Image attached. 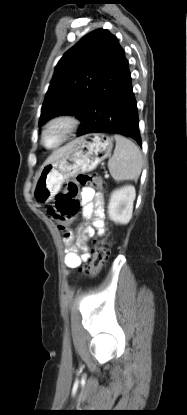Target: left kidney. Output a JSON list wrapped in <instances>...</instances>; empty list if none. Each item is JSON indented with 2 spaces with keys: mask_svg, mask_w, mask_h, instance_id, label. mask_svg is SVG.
<instances>
[{
  "mask_svg": "<svg viewBox=\"0 0 187 415\" xmlns=\"http://www.w3.org/2000/svg\"><path fill=\"white\" fill-rule=\"evenodd\" d=\"M136 197L134 186H125L114 190L110 196L108 216L119 224H127L132 218L133 202Z\"/></svg>",
  "mask_w": 187,
  "mask_h": 415,
  "instance_id": "5707ae66",
  "label": "left kidney"
}]
</instances>
